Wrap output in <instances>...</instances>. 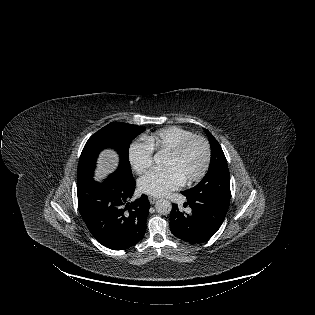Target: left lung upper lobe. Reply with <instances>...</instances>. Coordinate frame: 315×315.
<instances>
[{
	"label": "left lung upper lobe",
	"mask_w": 315,
	"mask_h": 315,
	"mask_svg": "<svg viewBox=\"0 0 315 315\" xmlns=\"http://www.w3.org/2000/svg\"><path fill=\"white\" fill-rule=\"evenodd\" d=\"M211 145V161L207 174L195 187L186 192H206L230 199V175L223 150L217 140L204 130Z\"/></svg>",
	"instance_id": "left-lung-upper-lobe-1"
}]
</instances>
